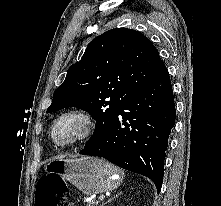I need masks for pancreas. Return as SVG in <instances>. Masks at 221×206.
<instances>
[{
	"mask_svg": "<svg viewBox=\"0 0 221 206\" xmlns=\"http://www.w3.org/2000/svg\"><path fill=\"white\" fill-rule=\"evenodd\" d=\"M97 202L92 200V201H89L86 206H94Z\"/></svg>",
	"mask_w": 221,
	"mask_h": 206,
	"instance_id": "obj_1",
	"label": "pancreas"
}]
</instances>
